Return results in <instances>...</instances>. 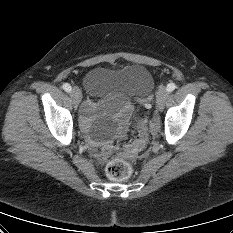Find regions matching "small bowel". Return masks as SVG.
Segmentation results:
<instances>
[{"label": "small bowel", "instance_id": "obj_1", "mask_svg": "<svg viewBox=\"0 0 233 233\" xmlns=\"http://www.w3.org/2000/svg\"><path fill=\"white\" fill-rule=\"evenodd\" d=\"M97 109L96 103L93 101H87L83 107V117L82 120L85 124H88L90 121L91 116L94 114V112Z\"/></svg>", "mask_w": 233, "mask_h": 233}]
</instances>
